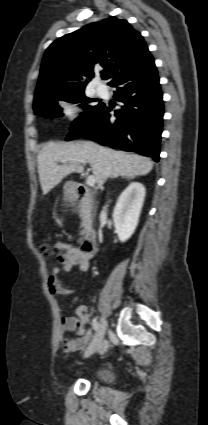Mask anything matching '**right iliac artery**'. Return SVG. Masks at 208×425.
Here are the masks:
<instances>
[{
  "label": "right iliac artery",
  "instance_id": "82829eb1",
  "mask_svg": "<svg viewBox=\"0 0 208 425\" xmlns=\"http://www.w3.org/2000/svg\"><path fill=\"white\" fill-rule=\"evenodd\" d=\"M98 326H99V324H98L97 318H93L92 327L95 331L98 329Z\"/></svg>",
  "mask_w": 208,
  "mask_h": 425
}]
</instances>
